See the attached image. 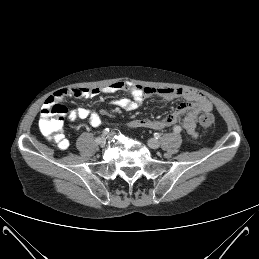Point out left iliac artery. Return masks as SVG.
Returning a JSON list of instances; mask_svg holds the SVG:
<instances>
[{
  "label": "left iliac artery",
  "instance_id": "44dca946",
  "mask_svg": "<svg viewBox=\"0 0 259 259\" xmlns=\"http://www.w3.org/2000/svg\"><path fill=\"white\" fill-rule=\"evenodd\" d=\"M173 130H174V132L178 133L181 131V128H180V126H175Z\"/></svg>",
  "mask_w": 259,
  "mask_h": 259
}]
</instances>
